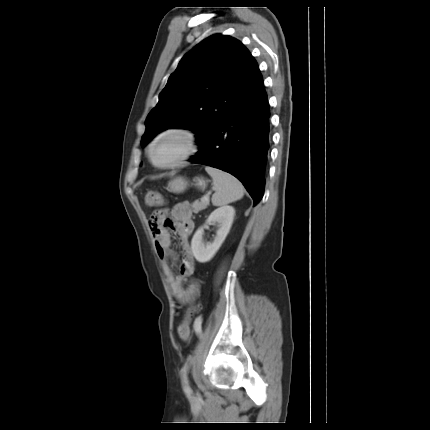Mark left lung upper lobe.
Listing matches in <instances>:
<instances>
[{
  "instance_id": "5c2ea615",
  "label": "left lung upper lobe",
  "mask_w": 430,
  "mask_h": 430,
  "mask_svg": "<svg viewBox=\"0 0 430 430\" xmlns=\"http://www.w3.org/2000/svg\"><path fill=\"white\" fill-rule=\"evenodd\" d=\"M257 70L255 59L237 39L217 34L203 40L169 77L147 117L141 145L169 127L192 130L197 138L256 88Z\"/></svg>"
}]
</instances>
